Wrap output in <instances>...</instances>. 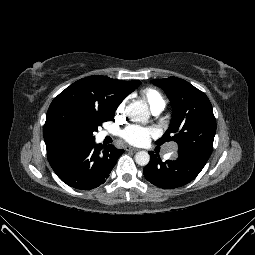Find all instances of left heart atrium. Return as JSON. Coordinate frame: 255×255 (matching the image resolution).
<instances>
[{
  "label": "left heart atrium",
  "instance_id": "obj_1",
  "mask_svg": "<svg viewBox=\"0 0 255 255\" xmlns=\"http://www.w3.org/2000/svg\"><path fill=\"white\" fill-rule=\"evenodd\" d=\"M156 134L154 129L138 125L128 126L122 133L123 138L132 145H144Z\"/></svg>",
  "mask_w": 255,
  "mask_h": 255
}]
</instances>
